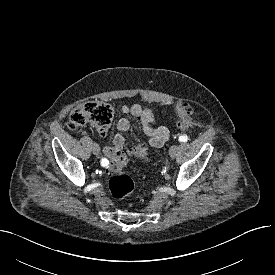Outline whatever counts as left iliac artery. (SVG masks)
Here are the masks:
<instances>
[{"instance_id":"left-iliac-artery-1","label":"left iliac artery","mask_w":275,"mask_h":275,"mask_svg":"<svg viewBox=\"0 0 275 275\" xmlns=\"http://www.w3.org/2000/svg\"><path fill=\"white\" fill-rule=\"evenodd\" d=\"M187 140H188V137L186 135L179 136V141L180 142H187Z\"/></svg>"}]
</instances>
